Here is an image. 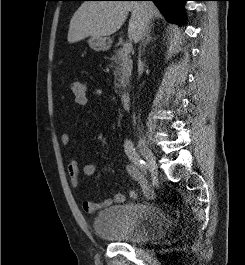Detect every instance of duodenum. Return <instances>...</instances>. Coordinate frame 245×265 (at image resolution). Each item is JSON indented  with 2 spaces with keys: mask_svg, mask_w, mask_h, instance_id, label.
Instances as JSON below:
<instances>
[{
  "mask_svg": "<svg viewBox=\"0 0 245 265\" xmlns=\"http://www.w3.org/2000/svg\"><path fill=\"white\" fill-rule=\"evenodd\" d=\"M122 103L126 109H130V107H131V93H129L128 91L122 92Z\"/></svg>",
  "mask_w": 245,
  "mask_h": 265,
  "instance_id": "duodenum-1",
  "label": "duodenum"
}]
</instances>
